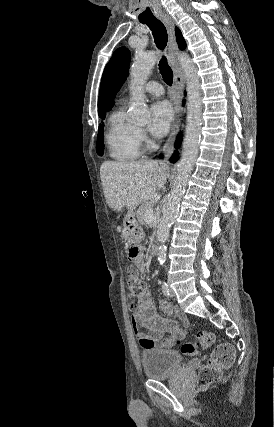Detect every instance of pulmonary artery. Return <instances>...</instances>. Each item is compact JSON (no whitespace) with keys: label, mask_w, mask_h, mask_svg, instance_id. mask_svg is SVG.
Masks as SVG:
<instances>
[{"label":"pulmonary artery","mask_w":274,"mask_h":427,"mask_svg":"<svg viewBox=\"0 0 274 427\" xmlns=\"http://www.w3.org/2000/svg\"><path fill=\"white\" fill-rule=\"evenodd\" d=\"M144 91L155 96L164 94L163 86L156 81H148L144 86Z\"/></svg>","instance_id":"pulmonary-artery-1"}]
</instances>
